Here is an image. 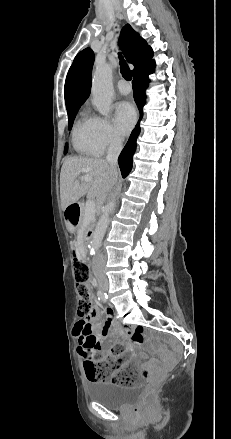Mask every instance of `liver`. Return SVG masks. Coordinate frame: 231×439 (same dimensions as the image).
<instances>
[{"mask_svg": "<svg viewBox=\"0 0 231 439\" xmlns=\"http://www.w3.org/2000/svg\"><path fill=\"white\" fill-rule=\"evenodd\" d=\"M84 173L89 181L79 182L77 177ZM118 173L115 174L104 159L87 157H69L61 168L60 173V198L62 209L76 203L83 195L96 198L102 203L109 190L117 182Z\"/></svg>", "mask_w": 231, "mask_h": 439, "instance_id": "6515ba94", "label": "liver"}]
</instances>
